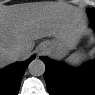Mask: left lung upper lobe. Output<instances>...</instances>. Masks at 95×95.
<instances>
[{
  "label": "left lung upper lobe",
  "instance_id": "5c2ea615",
  "mask_svg": "<svg viewBox=\"0 0 95 95\" xmlns=\"http://www.w3.org/2000/svg\"><path fill=\"white\" fill-rule=\"evenodd\" d=\"M92 14H95V9L90 10Z\"/></svg>",
  "mask_w": 95,
  "mask_h": 95
}]
</instances>
